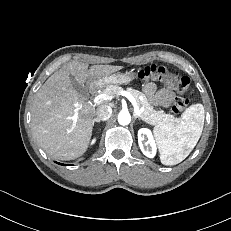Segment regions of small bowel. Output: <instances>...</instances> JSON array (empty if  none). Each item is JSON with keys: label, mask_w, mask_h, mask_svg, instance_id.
I'll return each instance as SVG.
<instances>
[{"label": "small bowel", "mask_w": 231, "mask_h": 231, "mask_svg": "<svg viewBox=\"0 0 231 231\" xmlns=\"http://www.w3.org/2000/svg\"><path fill=\"white\" fill-rule=\"evenodd\" d=\"M144 92L153 104L163 107H169L175 99V93L171 89L157 88L154 83H147Z\"/></svg>", "instance_id": "1"}]
</instances>
